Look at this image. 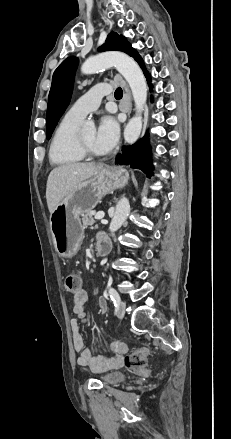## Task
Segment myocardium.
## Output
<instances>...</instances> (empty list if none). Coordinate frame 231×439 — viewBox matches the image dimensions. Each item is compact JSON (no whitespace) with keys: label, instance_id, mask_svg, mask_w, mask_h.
<instances>
[{"label":"myocardium","instance_id":"f54148a6","mask_svg":"<svg viewBox=\"0 0 231 439\" xmlns=\"http://www.w3.org/2000/svg\"><path fill=\"white\" fill-rule=\"evenodd\" d=\"M75 142H76V146H77L78 150L81 152V154L84 157L98 158V157L103 156V153H97L88 147V145L84 142V140L82 138L80 130H78L76 133Z\"/></svg>","mask_w":231,"mask_h":439}]
</instances>
